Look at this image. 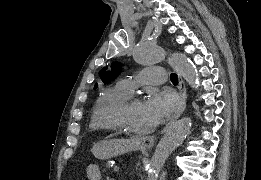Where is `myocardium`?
Returning a JSON list of instances; mask_svg holds the SVG:
<instances>
[{"instance_id":"obj_1","label":"myocardium","mask_w":261,"mask_h":180,"mask_svg":"<svg viewBox=\"0 0 261 180\" xmlns=\"http://www.w3.org/2000/svg\"><path fill=\"white\" fill-rule=\"evenodd\" d=\"M140 95L137 93H128L127 96L124 97V99L122 100V102L113 109L112 111V119H113V124H114V130H115V134L116 136H125L134 140H139L142 139L143 137L146 136H152L155 134V132L157 131V123L153 126V128L145 135H135L130 133L124 126V124L122 123V121L119 119V114L124 111L126 108H128L132 103H134L135 101L140 100Z\"/></svg>"}]
</instances>
